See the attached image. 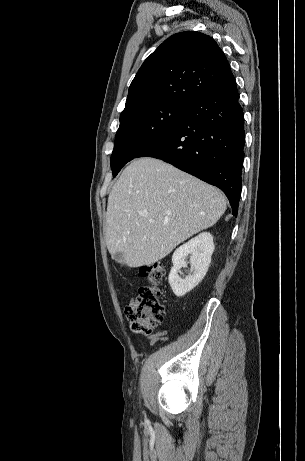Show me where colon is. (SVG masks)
<instances>
[{"label": "colon", "mask_w": 305, "mask_h": 461, "mask_svg": "<svg viewBox=\"0 0 305 461\" xmlns=\"http://www.w3.org/2000/svg\"><path fill=\"white\" fill-rule=\"evenodd\" d=\"M166 271L167 266L163 262H154L141 269L142 276L147 278L150 284L141 286L136 298L125 307V315L132 331L150 334L163 322L164 306L159 285Z\"/></svg>", "instance_id": "obj_1"}]
</instances>
